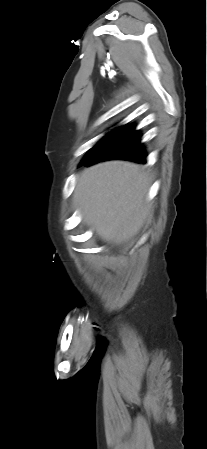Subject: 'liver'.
I'll use <instances>...</instances> for the list:
<instances>
[{
    "label": "liver",
    "instance_id": "6515ba94",
    "mask_svg": "<svg viewBox=\"0 0 207 449\" xmlns=\"http://www.w3.org/2000/svg\"><path fill=\"white\" fill-rule=\"evenodd\" d=\"M149 176L139 164L107 161L80 174L73 206L85 223L106 242L123 244L134 238L151 210L147 201Z\"/></svg>",
    "mask_w": 207,
    "mask_h": 449
}]
</instances>
